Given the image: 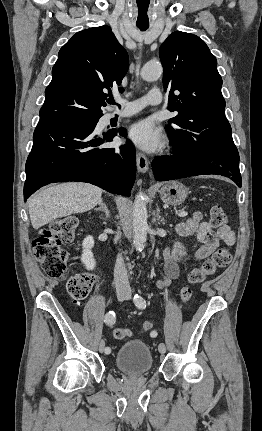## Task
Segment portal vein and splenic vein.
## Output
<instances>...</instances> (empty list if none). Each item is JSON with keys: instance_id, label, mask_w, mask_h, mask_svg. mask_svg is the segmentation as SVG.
<instances>
[{"instance_id": "18ae733b", "label": "portal vein and splenic vein", "mask_w": 262, "mask_h": 431, "mask_svg": "<svg viewBox=\"0 0 262 431\" xmlns=\"http://www.w3.org/2000/svg\"><path fill=\"white\" fill-rule=\"evenodd\" d=\"M188 215V213L187 212H180L179 214H178V216L179 217H185V216H187Z\"/></svg>"}]
</instances>
